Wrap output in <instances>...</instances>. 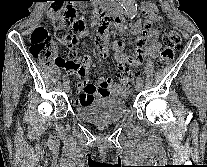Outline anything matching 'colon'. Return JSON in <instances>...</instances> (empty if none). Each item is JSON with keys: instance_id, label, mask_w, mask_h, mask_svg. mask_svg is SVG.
Listing matches in <instances>:
<instances>
[{"instance_id": "1", "label": "colon", "mask_w": 207, "mask_h": 167, "mask_svg": "<svg viewBox=\"0 0 207 167\" xmlns=\"http://www.w3.org/2000/svg\"><path fill=\"white\" fill-rule=\"evenodd\" d=\"M50 16L56 28L58 40L66 43H74L75 32L83 25V21L74 22V9L72 7H61L58 4L50 10ZM164 48L158 60V64L163 66L170 63L175 55V49L180 47V37L173 30H166L163 35ZM30 54L33 58L39 60L44 66H59L63 60L56 51V46L48 30L43 26L36 27L30 37ZM89 64V61H83L74 50L68 52V61L65 63L70 67H80L83 64ZM119 80L120 86L129 89L134 82V74L120 68Z\"/></svg>"}]
</instances>
